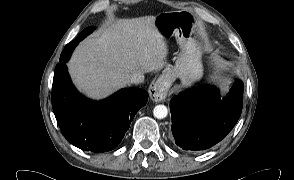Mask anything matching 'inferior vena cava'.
Segmentation results:
<instances>
[{
  "instance_id": "1",
  "label": "inferior vena cava",
  "mask_w": 294,
  "mask_h": 180,
  "mask_svg": "<svg viewBox=\"0 0 294 180\" xmlns=\"http://www.w3.org/2000/svg\"><path fill=\"white\" fill-rule=\"evenodd\" d=\"M144 75L142 73H133L127 79L128 84H140L144 82Z\"/></svg>"
}]
</instances>
